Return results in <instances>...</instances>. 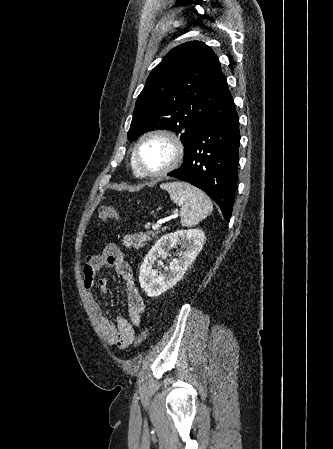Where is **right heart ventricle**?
<instances>
[{
    "label": "right heart ventricle",
    "instance_id": "e07e8e85",
    "mask_svg": "<svg viewBox=\"0 0 333 449\" xmlns=\"http://www.w3.org/2000/svg\"><path fill=\"white\" fill-rule=\"evenodd\" d=\"M131 168H132V172L135 176L140 177L136 168V165L134 163L133 157L131 159Z\"/></svg>",
    "mask_w": 333,
    "mask_h": 449
}]
</instances>
